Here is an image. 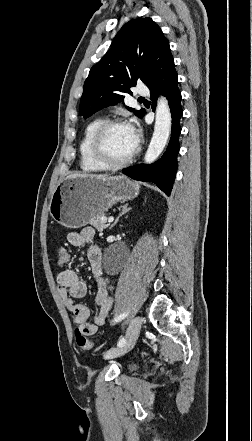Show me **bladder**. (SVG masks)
Wrapping results in <instances>:
<instances>
[{
  "label": "bladder",
  "instance_id": "1",
  "mask_svg": "<svg viewBox=\"0 0 252 441\" xmlns=\"http://www.w3.org/2000/svg\"><path fill=\"white\" fill-rule=\"evenodd\" d=\"M135 368H136L135 365H130V369H131V370H133V369H135Z\"/></svg>",
  "mask_w": 252,
  "mask_h": 441
}]
</instances>
